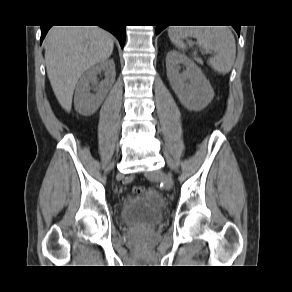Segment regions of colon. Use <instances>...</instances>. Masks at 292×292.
<instances>
[{"mask_svg": "<svg viewBox=\"0 0 292 292\" xmlns=\"http://www.w3.org/2000/svg\"><path fill=\"white\" fill-rule=\"evenodd\" d=\"M144 191H145V189L142 186H135L133 188V193L137 194V195L142 194Z\"/></svg>", "mask_w": 292, "mask_h": 292, "instance_id": "obj_1", "label": "colon"}]
</instances>
